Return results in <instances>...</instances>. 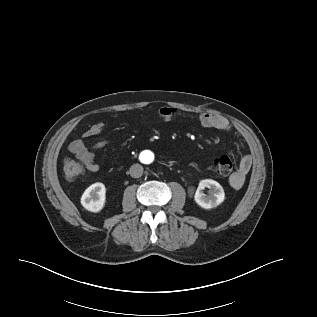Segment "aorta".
I'll use <instances>...</instances> for the list:
<instances>
[{
  "label": "aorta",
  "instance_id": "762f6f07",
  "mask_svg": "<svg viewBox=\"0 0 317 317\" xmlns=\"http://www.w3.org/2000/svg\"><path fill=\"white\" fill-rule=\"evenodd\" d=\"M140 160L146 165H152L154 163L155 156L152 152L146 151L141 154Z\"/></svg>",
  "mask_w": 317,
  "mask_h": 317
}]
</instances>
